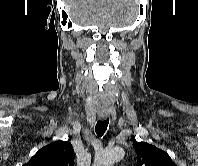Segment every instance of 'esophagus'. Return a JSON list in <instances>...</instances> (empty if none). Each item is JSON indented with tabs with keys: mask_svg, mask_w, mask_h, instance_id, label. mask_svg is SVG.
I'll list each match as a JSON object with an SVG mask.
<instances>
[{
	"mask_svg": "<svg viewBox=\"0 0 198 166\" xmlns=\"http://www.w3.org/2000/svg\"><path fill=\"white\" fill-rule=\"evenodd\" d=\"M100 116H101V119L104 120V119H106L107 114H101Z\"/></svg>",
	"mask_w": 198,
	"mask_h": 166,
	"instance_id": "obj_1",
	"label": "esophagus"
}]
</instances>
